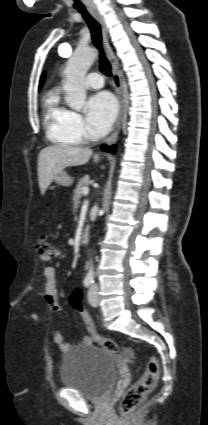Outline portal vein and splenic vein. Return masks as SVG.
I'll return each mask as SVG.
<instances>
[{"label":"portal vein and splenic vein","mask_w":208,"mask_h":425,"mask_svg":"<svg viewBox=\"0 0 208 425\" xmlns=\"http://www.w3.org/2000/svg\"><path fill=\"white\" fill-rule=\"evenodd\" d=\"M82 193L86 196L89 193V189L87 187L83 188Z\"/></svg>","instance_id":"portal-vein-and-splenic-vein-1"}]
</instances>
